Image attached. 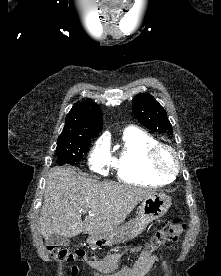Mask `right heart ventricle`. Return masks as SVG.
<instances>
[{"label": "right heart ventricle", "instance_id": "obj_1", "mask_svg": "<svg viewBox=\"0 0 221 276\" xmlns=\"http://www.w3.org/2000/svg\"><path fill=\"white\" fill-rule=\"evenodd\" d=\"M157 142L141 129L127 128L113 161L118 179L125 183L152 186L170 182L171 177L157 175L148 166L147 152Z\"/></svg>", "mask_w": 221, "mask_h": 276}]
</instances>
